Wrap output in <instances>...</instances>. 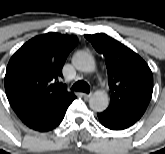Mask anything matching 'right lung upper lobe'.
Returning <instances> with one entry per match:
<instances>
[{
  "instance_id": "1",
  "label": "right lung upper lobe",
  "mask_w": 165,
  "mask_h": 154,
  "mask_svg": "<svg viewBox=\"0 0 165 154\" xmlns=\"http://www.w3.org/2000/svg\"><path fill=\"white\" fill-rule=\"evenodd\" d=\"M76 36L47 33L26 42L10 59L5 75L9 103L21 117L67 95L62 68Z\"/></svg>"
}]
</instances>
